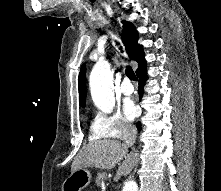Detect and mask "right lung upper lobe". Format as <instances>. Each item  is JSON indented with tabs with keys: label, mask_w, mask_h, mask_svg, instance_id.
Instances as JSON below:
<instances>
[{
	"label": "right lung upper lobe",
	"mask_w": 221,
	"mask_h": 191,
	"mask_svg": "<svg viewBox=\"0 0 221 191\" xmlns=\"http://www.w3.org/2000/svg\"><path fill=\"white\" fill-rule=\"evenodd\" d=\"M123 23V33H122V42L126 48V52L131 60H134L138 63L139 71L146 65L144 59V51L142 45L138 44V32L136 31L133 24L122 21ZM86 101V69L83 64L81 71L79 73V102L80 106L84 107Z\"/></svg>",
	"instance_id": "cb5924a9"
}]
</instances>
